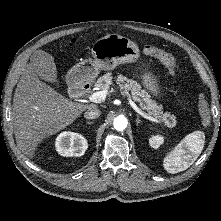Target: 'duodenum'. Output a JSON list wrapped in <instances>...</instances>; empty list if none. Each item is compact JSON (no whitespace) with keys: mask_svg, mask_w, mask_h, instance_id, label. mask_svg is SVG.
<instances>
[{"mask_svg":"<svg viewBox=\"0 0 221 221\" xmlns=\"http://www.w3.org/2000/svg\"><path fill=\"white\" fill-rule=\"evenodd\" d=\"M89 89V85L86 83L75 82L71 85V93L75 97L83 96Z\"/></svg>","mask_w":221,"mask_h":221,"instance_id":"1","label":"duodenum"}]
</instances>
